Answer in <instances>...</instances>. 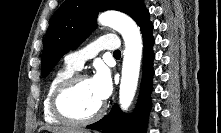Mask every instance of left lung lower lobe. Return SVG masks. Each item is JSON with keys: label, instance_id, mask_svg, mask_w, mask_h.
<instances>
[{"label": "left lung lower lobe", "instance_id": "1", "mask_svg": "<svg viewBox=\"0 0 221 133\" xmlns=\"http://www.w3.org/2000/svg\"><path fill=\"white\" fill-rule=\"evenodd\" d=\"M153 25L149 22L141 32L144 39L143 55V76L136 110L130 116L121 112L117 105H114L111 112L100 121L88 125L87 128L102 130L103 133H145L146 122L151 108L150 95L152 91L153 78Z\"/></svg>", "mask_w": 221, "mask_h": 133}]
</instances>
